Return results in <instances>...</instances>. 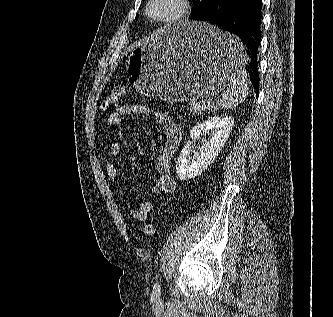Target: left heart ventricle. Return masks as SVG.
<instances>
[{
  "instance_id": "b2bd125f",
  "label": "left heart ventricle",
  "mask_w": 333,
  "mask_h": 317,
  "mask_svg": "<svg viewBox=\"0 0 333 317\" xmlns=\"http://www.w3.org/2000/svg\"><path fill=\"white\" fill-rule=\"evenodd\" d=\"M174 9L173 4L169 0H159L152 7V12L158 16L170 14Z\"/></svg>"
}]
</instances>
